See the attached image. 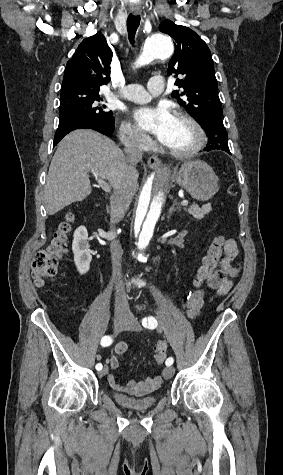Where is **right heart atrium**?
Returning a JSON list of instances; mask_svg holds the SVG:
<instances>
[{
  "label": "right heart atrium",
  "instance_id": "obj_1",
  "mask_svg": "<svg viewBox=\"0 0 283 475\" xmlns=\"http://www.w3.org/2000/svg\"><path fill=\"white\" fill-rule=\"evenodd\" d=\"M131 67V64L127 69ZM117 133L125 152L144 154L151 148V140L140 133L130 121L123 120L117 126Z\"/></svg>",
  "mask_w": 283,
  "mask_h": 475
}]
</instances>
